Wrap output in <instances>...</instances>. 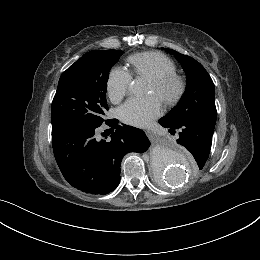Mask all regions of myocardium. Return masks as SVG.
<instances>
[{
  "label": "myocardium",
  "mask_w": 260,
  "mask_h": 260,
  "mask_svg": "<svg viewBox=\"0 0 260 260\" xmlns=\"http://www.w3.org/2000/svg\"><path fill=\"white\" fill-rule=\"evenodd\" d=\"M154 86V93L165 103L175 102L183 93L185 83L176 74H169L151 79Z\"/></svg>",
  "instance_id": "1"
}]
</instances>
